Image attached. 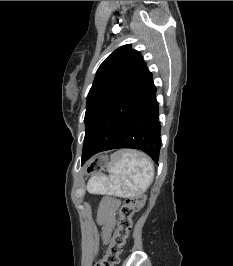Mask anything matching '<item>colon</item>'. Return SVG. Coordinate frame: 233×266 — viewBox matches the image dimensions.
I'll use <instances>...</instances> for the list:
<instances>
[{
	"mask_svg": "<svg viewBox=\"0 0 233 266\" xmlns=\"http://www.w3.org/2000/svg\"><path fill=\"white\" fill-rule=\"evenodd\" d=\"M145 200L144 195L131 196L124 200L119 208L116 229L106 253L95 266H115L118 263L119 256L132 228V218L143 207Z\"/></svg>",
	"mask_w": 233,
	"mask_h": 266,
	"instance_id": "1",
	"label": "colon"
}]
</instances>
